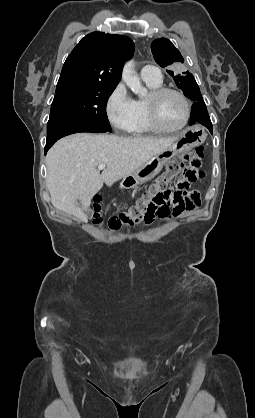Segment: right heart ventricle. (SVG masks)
Wrapping results in <instances>:
<instances>
[{
    "mask_svg": "<svg viewBox=\"0 0 255 418\" xmlns=\"http://www.w3.org/2000/svg\"><path fill=\"white\" fill-rule=\"evenodd\" d=\"M145 82L151 91L158 89L162 86V81H159V82L145 81ZM135 105H136L135 119L129 132L132 134H136V135L149 134V133L154 132L155 130L151 127L149 120H148L146 100L145 99L136 100Z\"/></svg>",
    "mask_w": 255,
    "mask_h": 418,
    "instance_id": "e07e8e85",
    "label": "right heart ventricle"
}]
</instances>
